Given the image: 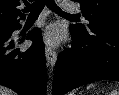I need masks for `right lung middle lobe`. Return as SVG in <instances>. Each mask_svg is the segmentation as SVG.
<instances>
[{
  "label": "right lung middle lobe",
  "instance_id": "dd1d6c3e",
  "mask_svg": "<svg viewBox=\"0 0 119 95\" xmlns=\"http://www.w3.org/2000/svg\"><path fill=\"white\" fill-rule=\"evenodd\" d=\"M13 27L0 28V34L10 31Z\"/></svg>",
  "mask_w": 119,
  "mask_h": 95
}]
</instances>
